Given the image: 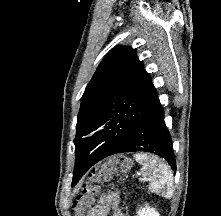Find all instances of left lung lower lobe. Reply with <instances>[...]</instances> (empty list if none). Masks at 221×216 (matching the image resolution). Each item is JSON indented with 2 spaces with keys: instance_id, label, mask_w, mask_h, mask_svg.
Returning a JSON list of instances; mask_svg holds the SVG:
<instances>
[{
  "instance_id": "1",
  "label": "left lung lower lobe",
  "mask_w": 221,
  "mask_h": 216,
  "mask_svg": "<svg viewBox=\"0 0 221 216\" xmlns=\"http://www.w3.org/2000/svg\"><path fill=\"white\" fill-rule=\"evenodd\" d=\"M145 151L164 158L176 171L172 140L164 122V110L156 94L155 101L132 137L119 149L114 150L107 143L91 146L80 156V170L73 178L72 186L97 162L117 153Z\"/></svg>"
}]
</instances>
